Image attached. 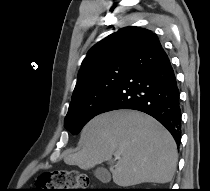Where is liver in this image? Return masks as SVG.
<instances>
[{"label":"liver","instance_id":"6515ba94","mask_svg":"<svg viewBox=\"0 0 210 191\" xmlns=\"http://www.w3.org/2000/svg\"><path fill=\"white\" fill-rule=\"evenodd\" d=\"M81 149L64 157L68 165L88 170L108 161L113 181L121 187L167 183L173 178L177 146L154 118L134 110H114L90 120L82 130ZM120 154L114 164L112 155Z\"/></svg>","mask_w":210,"mask_h":191}]
</instances>
